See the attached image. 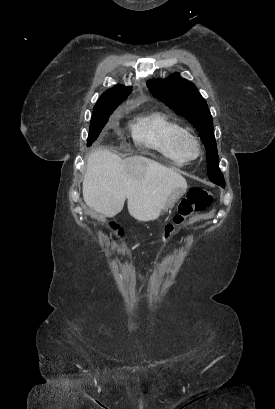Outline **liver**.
<instances>
[{"mask_svg": "<svg viewBox=\"0 0 275 409\" xmlns=\"http://www.w3.org/2000/svg\"><path fill=\"white\" fill-rule=\"evenodd\" d=\"M175 188L185 192L184 176L146 156H128L98 148L87 158L83 198L87 207L102 217H115L124 207L138 221L160 217Z\"/></svg>", "mask_w": 275, "mask_h": 409, "instance_id": "liver-1", "label": "liver"}]
</instances>
